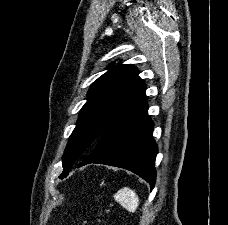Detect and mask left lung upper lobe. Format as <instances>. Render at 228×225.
<instances>
[{
  "label": "left lung upper lobe",
  "mask_w": 228,
  "mask_h": 225,
  "mask_svg": "<svg viewBox=\"0 0 228 225\" xmlns=\"http://www.w3.org/2000/svg\"><path fill=\"white\" fill-rule=\"evenodd\" d=\"M87 93V102L79 113L63 155L65 178L73 165L93 150L101 135L118 119L146 98L145 84L132 64L111 63Z\"/></svg>",
  "instance_id": "1"
}]
</instances>
